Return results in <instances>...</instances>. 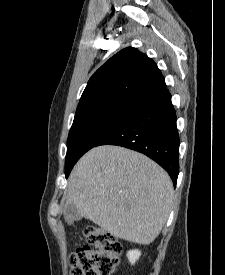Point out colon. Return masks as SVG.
Returning a JSON list of instances; mask_svg holds the SVG:
<instances>
[{"label": "colon", "instance_id": "5ec220e1", "mask_svg": "<svg viewBox=\"0 0 225 275\" xmlns=\"http://www.w3.org/2000/svg\"><path fill=\"white\" fill-rule=\"evenodd\" d=\"M87 245L70 256L72 275H112L119 264L122 246L106 230L89 225L84 229Z\"/></svg>", "mask_w": 225, "mask_h": 275}]
</instances>
